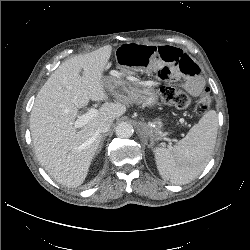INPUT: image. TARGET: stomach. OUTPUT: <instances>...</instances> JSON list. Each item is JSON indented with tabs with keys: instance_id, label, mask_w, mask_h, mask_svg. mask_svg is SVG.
<instances>
[{
	"instance_id": "0dacf381",
	"label": "stomach",
	"mask_w": 250,
	"mask_h": 250,
	"mask_svg": "<svg viewBox=\"0 0 250 250\" xmlns=\"http://www.w3.org/2000/svg\"><path fill=\"white\" fill-rule=\"evenodd\" d=\"M124 44H137V45H148L151 44H139V43H124ZM126 72V71H124ZM105 88L110 91L113 95L122 99L131 100L135 103L142 104L143 106H150L156 103L157 95L154 88L147 84H128L124 85L119 83L113 78L104 80Z\"/></svg>"
}]
</instances>
